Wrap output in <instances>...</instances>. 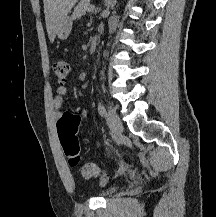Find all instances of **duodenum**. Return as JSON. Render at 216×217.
<instances>
[{
  "instance_id": "obj_1",
  "label": "duodenum",
  "mask_w": 216,
  "mask_h": 217,
  "mask_svg": "<svg viewBox=\"0 0 216 217\" xmlns=\"http://www.w3.org/2000/svg\"><path fill=\"white\" fill-rule=\"evenodd\" d=\"M89 44H90V51L94 52L96 50V48H97V45H98L97 38L96 37L90 38Z\"/></svg>"
}]
</instances>
